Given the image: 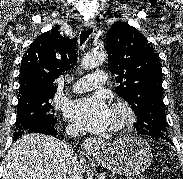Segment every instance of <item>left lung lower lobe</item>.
Returning a JSON list of instances; mask_svg holds the SVG:
<instances>
[{"label":"left lung lower lobe","instance_id":"1","mask_svg":"<svg viewBox=\"0 0 183 179\" xmlns=\"http://www.w3.org/2000/svg\"><path fill=\"white\" fill-rule=\"evenodd\" d=\"M162 139H165L166 141H169L171 142L170 138L169 137H163ZM173 144V143H172Z\"/></svg>","mask_w":183,"mask_h":179}]
</instances>
